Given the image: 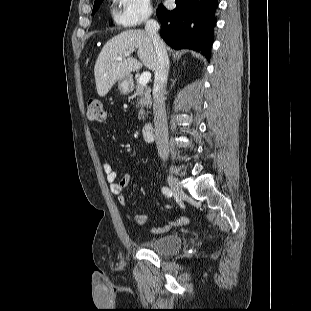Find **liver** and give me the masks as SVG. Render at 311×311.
I'll return each instance as SVG.
<instances>
[{"label":"liver","instance_id":"liver-1","mask_svg":"<svg viewBox=\"0 0 311 311\" xmlns=\"http://www.w3.org/2000/svg\"><path fill=\"white\" fill-rule=\"evenodd\" d=\"M134 50H137L140 61L130 57L121 61L116 59L119 55ZM143 65L150 70L156 68V53L147 32L129 30L116 35L104 45L94 66L98 95L104 97L118 80L129 76Z\"/></svg>","mask_w":311,"mask_h":311}]
</instances>
